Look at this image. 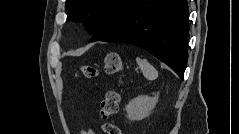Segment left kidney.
<instances>
[{
    "mask_svg": "<svg viewBox=\"0 0 239 134\" xmlns=\"http://www.w3.org/2000/svg\"><path fill=\"white\" fill-rule=\"evenodd\" d=\"M158 102V94L154 96L140 95L126 106L127 117L130 120H142L150 115Z\"/></svg>",
    "mask_w": 239,
    "mask_h": 134,
    "instance_id": "obj_1",
    "label": "left kidney"
}]
</instances>
